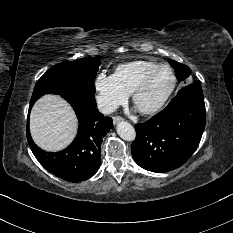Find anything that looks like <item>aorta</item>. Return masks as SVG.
Returning a JSON list of instances; mask_svg holds the SVG:
<instances>
[{"instance_id": "aorta-1", "label": "aorta", "mask_w": 233, "mask_h": 233, "mask_svg": "<svg viewBox=\"0 0 233 233\" xmlns=\"http://www.w3.org/2000/svg\"><path fill=\"white\" fill-rule=\"evenodd\" d=\"M117 133L123 140L126 141H133L136 137L134 127L126 121H121L118 123Z\"/></svg>"}]
</instances>
